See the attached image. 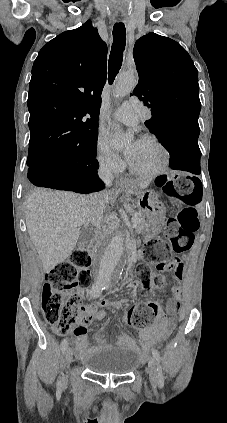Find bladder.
Masks as SVG:
<instances>
[{
  "label": "bladder",
  "instance_id": "bladder-1",
  "mask_svg": "<svg viewBox=\"0 0 227 423\" xmlns=\"http://www.w3.org/2000/svg\"><path fill=\"white\" fill-rule=\"evenodd\" d=\"M83 363L90 373L121 377L138 366L139 358L130 347L108 346L86 356Z\"/></svg>",
  "mask_w": 227,
  "mask_h": 423
}]
</instances>
